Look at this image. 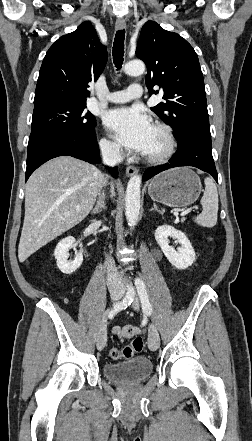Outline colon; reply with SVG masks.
Segmentation results:
<instances>
[{
    "instance_id": "5ec220e1",
    "label": "colon",
    "mask_w": 252,
    "mask_h": 441,
    "mask_svg": "<svg viewBox=\"0 0 252 441\" xmlns=\"http://www.w3.org/2000/svg\"><path fill=\"white\" fill-rule=\"evenodd\" d=\"M143 348H144V341L142 337L137 336L132 340V342L128 346L124 348H113L110 351V357L113 360H119L122 358L127 359L141 352Z\"/></svg>"
}]
</instances>
